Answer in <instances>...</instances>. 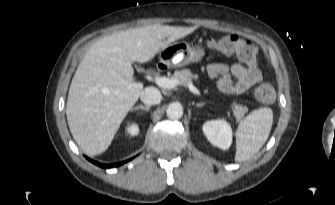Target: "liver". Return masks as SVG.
Returning <instances> with one entry per match:
<instances>
[{"mask_svg":"<svg viewBox=\"0 0 335 205\" xmlns=\"http://www.w3.org/2000/svg\"><path fill=\"white\" fill-rule=\"evenodd\" d=\"M195 29L154 24L111 34L91 45L73 76L66 106L70 132L86 154L108 149L139 99L143 83L133 80L132 63L150 61Z\"/></svg>","mask_w":335,"mask_h":205,"instance_id":"obj_1","label":"liver"}]
</instances>
